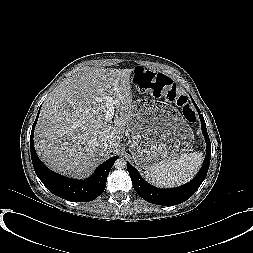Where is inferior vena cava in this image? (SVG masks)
<instances>
[{
    "instance_id": "inferior-vena-cava-1",
    "label": "inferior vena cava",
    "mask_w": 253,
    "mask_h": 253,
    "mask_svg": "<svg viewBox=\"0 0 253 253\" xmlns=\"http://www.w3.org/2000/svg\"><path fill=\"white\" fill-rule=\"evenodd\" d=\"M102 147L104 150H107L110 147V145L107 142H105L103 143Z\"/></svg>"
}]
</instances>
